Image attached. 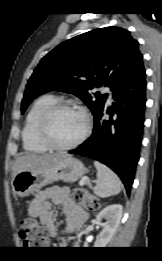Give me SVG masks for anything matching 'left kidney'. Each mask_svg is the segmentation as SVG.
Here are the masks:
<instances>
[{
  "label": "left kidney",
  "mask_w": 162,
  "mask_h": 261,
  "mask_svg": "<svg viewBox=\"0 0 162 261\" xmlns=\"http://www.w3.org/2000/svg\"><path fill=\"white\" fill-rule=\"evenodd\" d=\"M123 207L120 204H113L105 207L97 216L96 220L103 226L102 231L99 234V239L95 242L94 247L103 248L113 238L122 217ZM105 218L107 222L101 223V220Z\"/></svg>",
  "instance_id": "obj_1"
}]
</instances>
